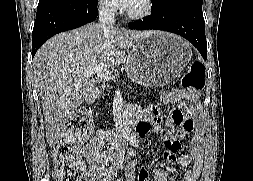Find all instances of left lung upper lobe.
Listing matches in <instances>:
<instances>
[{
  "label": "left lung upper lobe",
  "mask_w": 253,
  "mask_h": 181,
  "mask_svg": "<svg viewBox=\"0 0 253 181\" xmlns=\"http://www.w3.org/2000/svg\"><path fill=\"white\" fill-rule=\"evenodd\" d=\"M179 2H190L195 4H202V0H154L151 7V13H156L166 8L179 3Z\"/></svg>",
  "instance_id": "1"
}]
</instances>
